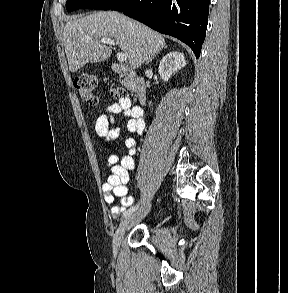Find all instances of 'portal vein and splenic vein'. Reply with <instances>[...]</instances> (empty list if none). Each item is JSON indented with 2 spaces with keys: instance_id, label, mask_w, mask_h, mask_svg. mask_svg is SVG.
Here are the masks:
<instances>
[{
  "instance_id": "portal-vein-and-splenic-vein-1",
  "label": "portal vein and splenic vein",
  "mask_w": 288,
  "mask_h": 293,
  "mask_svg": "<svg viewBox=\"0 0 288 293\" xmlns=\"http://www.w3.org/2000/svg\"><path fill=\"white\" fill-rule=\"evenodd\" d=\"M88 39H91V38H88ZM100 42L103 43V44H108V45H111V46L112 45L115 46L114 40H112L110 38H102L100 40ZM117 59H118L119 62H125L127 60V55L125 53H123V52H119V53H117Z\"/></svg>"
}]
</instances>
